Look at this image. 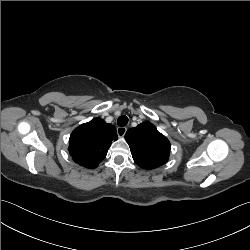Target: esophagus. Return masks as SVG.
I'll return each mask as SVG.
<instances>
[{
  "mask_svg": "<svg viewBox=\"0 0 250 250\" xmlns=\"http://www.w3.org/2000/svg\"><path fill=\"white\" fill-rule=\"evenodd\" d=\"M126 132H127V128L126 127H118L117 128V134L120 137H123Z\"/></svg>",
  "mask_w": 250,
  "mask_h": 250,
  "instance_id": "esophagus-1",
  "label": "esophagus"
}]
</instances>
